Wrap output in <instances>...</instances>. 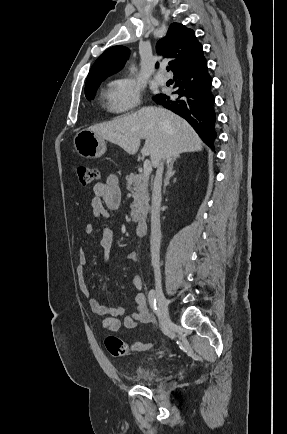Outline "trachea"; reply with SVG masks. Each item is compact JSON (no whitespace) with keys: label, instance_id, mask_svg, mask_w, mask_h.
Returning a JSON list of instances; mask_svg holds the SVG:
<instances>
[{"label":"trachea","instance_id":"obj_1","mask_svg":"<svg viewBox=\"0 0 287 434\" xmlns=\"http://www.w3.org/2000/svg\"><path fill=\"white\" fill-rule=\"evenodd\" d=\"M167 71H170V67H167Z\"/></svg>","mask_w":287,"mask_h":434}]
</instances>
